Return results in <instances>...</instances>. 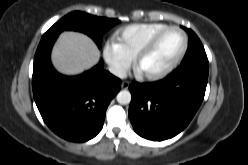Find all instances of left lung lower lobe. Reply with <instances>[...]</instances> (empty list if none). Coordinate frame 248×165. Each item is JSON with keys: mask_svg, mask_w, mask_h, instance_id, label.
Wrapping results in <instances>:
<instances>
[{"mask_svg": "<svg viewBox=\"0 0 248 165\" xmlns=\"http://www.w3.org/2000/svg\"><path fill=\"white\" fill-rule=\"evenodd\" d=\"M208 72L207 55L202 54L183 61L163 80L131 84L129 118L136 133L162 141L183 131L203 101Z\"/></svg>", "mask_w": 248, "mask_h": 165, "instance_id": "left-lung-lower-lobe-1", "label": "left lung lower lobe"}]
</instances>
